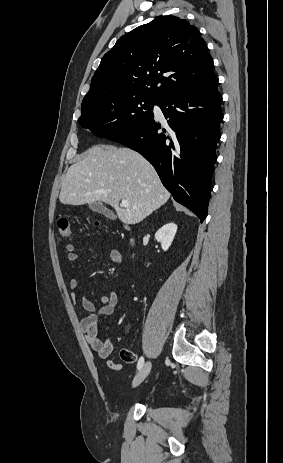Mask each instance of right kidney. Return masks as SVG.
Masks as SVG:
<instances>
[{
    "label": "right kidney",
    "mask_w": 283,
    "mask_h": 463,
    "mask_svg": "<svg viewBox=\"0 0 283 463\" xmlns=\"http://www.w3.org/2000/svg\"><path fill=\"white\" fill-rule=\"evenodd\" d=\"M177 232V225L174 223L165 224L155 234V239L161 243L162 249L167 251L171 246L175 234Z\"/></svg>",
    "instance_id": "1"
}]
</instances>
